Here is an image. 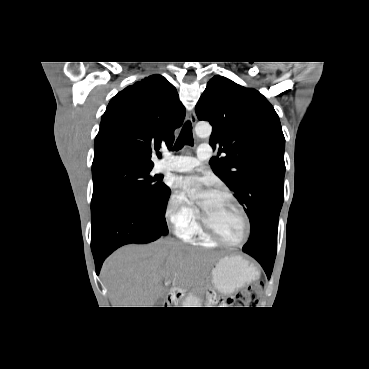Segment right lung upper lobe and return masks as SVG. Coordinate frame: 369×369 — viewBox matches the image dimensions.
I'll return each mask as SVG.
<instances>
[{
  "mask_svg": "<svg viewBox=\"0 0 369 369\" xmlns=\"http://www.w3.org/2000/svg\"><path fill=\"white\" fill-rule=\"evenodd\" d=\"M185 108L161 75L146 77L112 98L102 116L92 165L131 162L153 166L151 154L171 148ZM159 155V153H157Z\"/></svg>",
  "mask_w": 369,
  "mask_h": 369,
  "instance_id": "cb5924a9",
  "label": "right lung upper lobe"
}]
</instances>
